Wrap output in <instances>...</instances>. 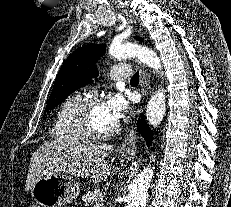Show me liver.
<instances>
[{"instance_id":"6515ba94","label":"liver","mask_w":231,"mask_h":207,"mask_svg":"<svg viewBox=\"0 0 231 207\" xmlns=\"http://www.w3.org/2000/svg\"><path fill=\"white\" fill-rule=\"evenodd\" d=\"M113 146L95 143H45L31 157L25 191H30L37 180L48 174L64 172L77 177L92 175L93 182L106 180L111 165L104 159Z\"/></svg>"}]
</instances>
